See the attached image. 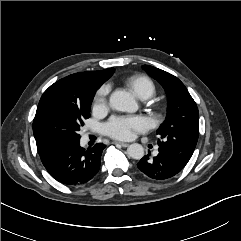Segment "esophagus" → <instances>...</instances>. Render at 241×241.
Returning <instances> with one entry per match:
<instances>
[{
	"label": "esophagus",
	"instance_id": "obj_1",
	"mask_svg": "<svg viewBox=\"0 0 241 241\" xmlns=\"http://www.w3.org/2000/svg\"><path fill=\"white\" fill-rule=\"evenodd\" d=\"M115 144H119L122 147H128L129 146L128 143H124V142H115Z\"/></svg>",
	"mask_w": 241,
	"mask_h": 241
}]
</instances>
